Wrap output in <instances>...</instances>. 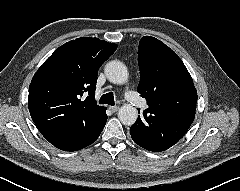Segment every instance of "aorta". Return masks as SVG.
I'll list each match as a JSON object with an SVG mask.
<instances>
[{"mask_svg":"<svg viewBox=\"0 0 240 191\" xmlns=\"http://www.w3.org/2000/svg\"><path fill=\"white\" fill-rule=\"evenodd\" d=\"M107 79L114 84H124L128 80L127 67L120 61L113 60L105 65ZM118 118L122 124L131 126L138 118V111L130 104H124L118 111Z\"/></svg>","mask_w":240,"mask_h":191,"instance_id":"762f6f07","label":"aorta"}]
</instances>
